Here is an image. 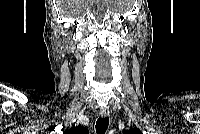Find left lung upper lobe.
I'll return each mask as SVG.
<instances>
[{
	"mask_svg": "<svg viewBox=\"0 0 200 134\" xmlns=\"http://www.w3.org/2000/svg\"><path fill=\"white\" fill-rule=\"evenodd\" d=\"M124 134H142L139 129H131L130 131H126Z\"/></svg>",
	"mask_w": 200,
	"mask_h": 134,
	"instance_id": "left-lung-upper-lobe-1",
	"label": "left lung upper lobe"
}]
</instances>
